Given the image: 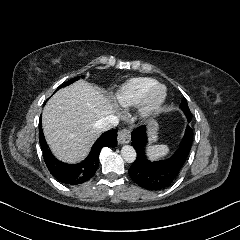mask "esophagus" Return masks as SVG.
<instances>
[{
  "mask_svg": "<svg viewBox=\"0 0 240 240\" xmlns=\"http://www.w3.org/2000/svg\"><path fill=\"white\" fill-rule=\"evenodd\" d=\"M119 144H127L131 140V132L127 129H122L118 132L117 137Z\"/></svg>",
  "mask_w": 240,
  "mask_h": 240,
  "instance_id": "obj_1",
  "label": "esophagus"
}]
</instances>
